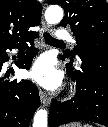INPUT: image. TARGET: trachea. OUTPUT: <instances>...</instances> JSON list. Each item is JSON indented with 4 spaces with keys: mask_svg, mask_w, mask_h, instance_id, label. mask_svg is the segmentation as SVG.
Instances as JSON below:
<instances>
[{
    "mask_svg": "<svg viewBox=\"0 0 108 127\" xmlns=\"http://www.w3.org/2000/svg\"><path fill=\"white\" fill-rule=\"evenodd\" d=\"M44 39L46 43L48 44H63L64 42L58 39L53 38L51 35H49L47 32L43 34Z\"/></svg>",
    "mask_w": 108,
    "mask_h": 127,
    "instance_id": "obj_1",
    "label": "trachea"
}]
</instances>
